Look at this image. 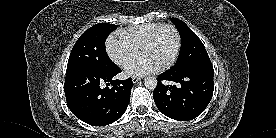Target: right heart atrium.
<instances>
[{"label": "right heart atrium", "mask_w": 276, "mask_h": 138, "mask_svg": "<svg viewBox=\"0 0 276 138\" xmlns=\"http://www.w3.org/2000/svg\"><path fill=\"white\" fill-rule=\"evenodd\" d=\"M106 52L118 66L125 67L138 53V49L120 34L106 40Z\"/></svg>", "instance_id": "right-heart-atrium-1"}]
</instances>
